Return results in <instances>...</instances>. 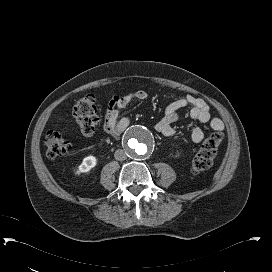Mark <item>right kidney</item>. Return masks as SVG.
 I'll return each mask as SVG.
<instances>
[{
	"label": "right kidney",
	"instance_id": "right-kidney-1",
	"mask_svg": "<svg viewBox=\"0 0 272 272\" xmlns=\"http://www.w3.org/2000/svg\"><path fill=\"white\" fill-rule=\"evenodd\" d=\"M97 164V159L95 156L89 155L83 159L81 164L76 170V174L80 175L82 173H88Z\"/></svg>",
	"mask_w": 272,
	"mask_h": 272
}]
</instances>
